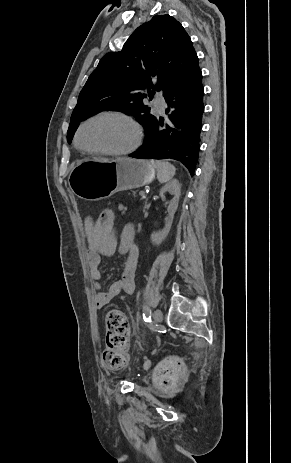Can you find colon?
<instances>
[{
  "label": "colon",
  "instance_id": "5ec220e1",
  "mask_svg": "<svg viewBox=\"0 0 291 463\" xmlns=\"http://www.w3.org/2000/svg\"><path fill=\"white\" fill-rule=\"evenodd\" d=\"M98 231L105 232L107 227H113L116 223L114 211L109 207H102L97 215ZM106 346L103 351V362L110 370H119L128 362L129 328L124 314L119 310L110 311L105 319ZM181 370L175 364H170L165 369L164 384L168 385L173 377Z\"/></svg>",
  "mask_w": 291,
  "mask_h": 463
}]
</instances>
